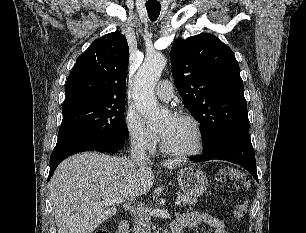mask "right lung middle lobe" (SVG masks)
<instances>
[{
    "instance_id": "1",
    "label": "right lung middle lobe",
    "mask_w": 306,
    "mask_h": 233,
    "mask_svg": "<svg viewBox=\"0 0 306 233\" xmlns=\"http://www.w3.org/2000/svg\"><path fill=\"white\" fill-rule=\"evenodd\" d=\"M125 100L81 98L64 102L55 148L84 138L128 139Z\"/></svg>"
}]
</instances>
